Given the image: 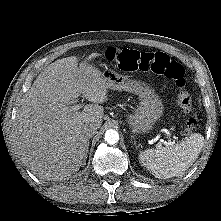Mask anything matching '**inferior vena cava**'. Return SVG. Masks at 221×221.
Wrapping results in <instances>:
<instances>
[{"label":"inferior vena cava","mask_w":221,"mask_h":221,"mask_svg":"<svg viewBox=\"0 0 221 221\" xmlns=\"http://www.w3.org/2000/svg\"><path fill=\"white\" fill-rule=\"evenodd\" d=\"M98 125L96 123H90L88 127L86 128L87 135L91 137L94 133H96V130L98 129Z\"/></svg>","instance_id":"1"}]
</instances>
